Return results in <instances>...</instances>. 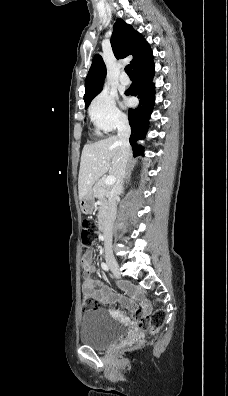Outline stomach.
<instances>
[{"label":"stomach","mask_w":228,"mask_h":396,"mask_svg":"<svg viewBox=\"0 0 228 396\" xmlns=\"http://www.w3.org/2000/svg\"><path fill=\"white\" fill-rule=\"evenodd\" d=\"M95 206L94 191L89 192L80 200V208L84 214L92 213Z\"/></svg>","instance_id":"1"}]
</instances>
